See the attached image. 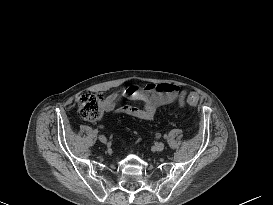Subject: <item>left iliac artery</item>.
I'll use <instances>...</instances> for the list:
<instances>
[{"mask_svg":"<svg viewBox=\"0 0 273 205\" xmlns=\"http://www.w3.org/2000/svg\"><path fill=\"white\" fill-rule=\"evenodd\" d=\"M167 138H168V136L165 134V135H164V139H167Z\"/></svg>","mask_w":273,"mask_h":205,"instance_id":"obj_1","label":"left iliac artery"}]
</instances>
